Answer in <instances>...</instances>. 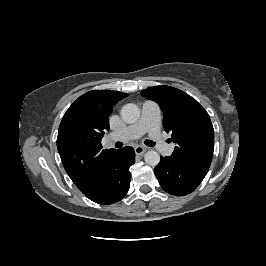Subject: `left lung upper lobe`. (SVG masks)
Masks as SVG:
<instances>
[{
	"label": "left lung upper lobe",
	"instance_id": "5c2ea615",
	"mask_svg": "<svg viewBox=\"0 0 266 266\" xmlns=\"http://www.w3.org/2000/svg\"><path fill=\"white\" fill-rule=\"evenodd\" d=\"M159 104L164 112L165 131L175 142L172 157L181 163L210 165L214 150V129L206 110L185 92L170 86L150 87L141 92Z\"/></svg>",
	"mask_w": 266,
	"mask_h": 266
}]
</instances>
